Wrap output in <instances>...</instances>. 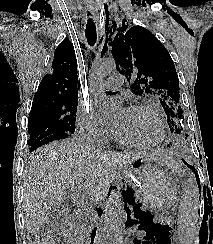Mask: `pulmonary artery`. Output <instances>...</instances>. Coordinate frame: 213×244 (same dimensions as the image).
I'll return each instance as SVG.
<instances>
[{
  "instance_id": "pulmonary-artery-1",
  "label": "pulmonary artery",
  "mask_w": 213,
  "mask_h": 244,
  "mask_svg": "<svg viewBox=\"0 0 213 244\" xmlns=\"http://www.w3.org/2000/svg\"><path fill=\"white\" fill-rule=\"evenodd\" d=\"M124 84V76L120 73H113L109 78L100 84V89L103 92L116 91Z\"/></svg>"
}]
</instances>
